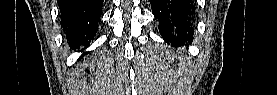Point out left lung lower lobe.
<instances>
[{"instance_id": "1", "label": "left lung lower lobe", "mask_w": 277, "mask_h": 95, "mask_svg": "<svg viewBox=\"0 0 277 95\" xmlns=\"http://www.w3.org/2000/svg\"><path fill=\"white\" fill-rule=\"evenodd\" d=\"M152 13L159 19V30L166 42L193 40L194 3L192 0H150Z\"/></svg>"}]
</instances>
